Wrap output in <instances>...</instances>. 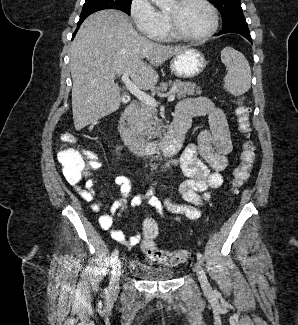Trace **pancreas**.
I'll list each match as a JSON object with an SVG mask.
<instances>
[{
  "label": "pancreas",
  "mask_w": 298,
  "mask_h": 325,
  "mask_svg": "<svg viewBox=\"0 0 298 325\" xmlns=\"http://www.w3.org/2000/svg\"><path fill=\"white\" fill-rule=\"evenodd\" d=\"M168 86H176L175 94L177 98H184V96H195V94H202L204 90H201L202 86H198L196 82H190V80H169ZM165 82H160L158 88H154L153 92H164ZM158 110L156 106H150V104H138L135 112H133L132 124L133 130L141 136V138H150V136H156L158 134L162 122L157 116Z\"/></svg>",
  "instance_id": "cf45deb5"
}]
</instances>
